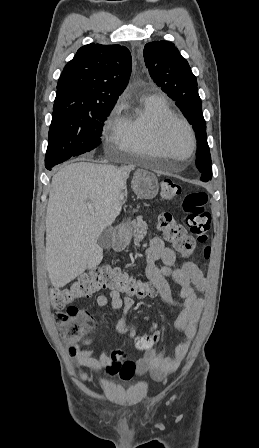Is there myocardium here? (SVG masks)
I'll return each instance as SVG.
<instances>
[{"label": "myocardium", "instance_id": "f54148a6", "mask_svg": "<svg viewBox=\"0 0 259 448\" xmlns=\"http://www.w3.org/2000/svg\"><path fill=\"white\" fill-rule=\"evenodd\" d=\"M175 123H180L186 127L191 140L189 161H194L196 158V133L192 124L183 116L173 114L160 121L156 133L157 146L159 149H168L166 143L167 132L169 128Z\"/></svg>", "mask_w": 259, "mask_h": 448}]
</instances>
